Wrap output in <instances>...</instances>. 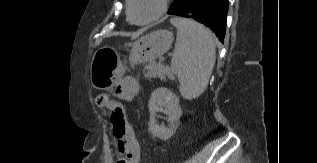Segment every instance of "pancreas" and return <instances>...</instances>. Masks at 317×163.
I'll list each match as a JSON object with an SVG mask.
<instances>
[{"label": "pancreas", "mask_w": 317, "mask_h": 163, "mask_svg": "<svg viewBox=\"0 0 317 163\" xmlns=\"http://www.w3.org/2000/svg\"><path fill=\"white\" fill-rule=\"evenodd\" d=\"M145 71H147V77H159L160 79H165V74L168 73V67L163 64L151 62L148 65H145L144 72Z\"/></svg>", "instance_id": "cf45deb5"}]
</instances>
